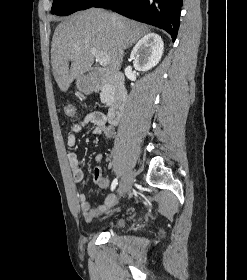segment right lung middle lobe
<instances>
[{
  "instance_id": "right-lung-middle-lobe-1",
  "label": "right lung middle lobe",
  "mask_w": 247,
  "mask_h": 280,
  "mask_svg": "<svg viewBox=\"0 0 247 280\" xmlns=\"http://www.w3.org/2000/svg\"><path fill=\"white\" fill-rule=\"evenodd\" d=\"M99 1L101 0H54L51 13L70 15L76 11L91 8Z\"/></svg>"
}]
</instances>
